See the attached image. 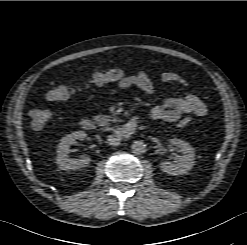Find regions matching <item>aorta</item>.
<instances>
[{
    "instance_id": "aorta-1",
    "label": "aorta",
    "mask_w": 247,
    "mask_h": 245,
    "mask_svg": "<svg viewBox=\"0 0 247 245\" xmlns=\"http://www.w3.org/2000/svg\"><path fill=\"white\" fill-rule=\"evenodd\" d=\"M131 150L134 154L141 155L146 152V145L143 141H134Z\"/></svg>"
}]
</instances>
